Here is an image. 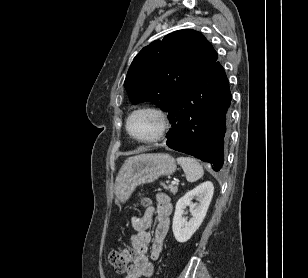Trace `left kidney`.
Segmentation results:
<instances>
[{
  "label": "left kidney",
  "instance_id": "1",
  "mask_svg": "<svg viewBox=\"0 0 308 278\" xmlns=\"http://www.w3.org/2000/svg\"><path fill=\"white\" fill-rule=\"evenodd\" d=\"M213 193V184L210 181H206L193 190L188 191L178 200L172 224L173 234L178 242H187L198 230L206 216ZM193 198H196L199 204H192L191 200ZM187 206H192V218L189 222L183 217L184 209H186Z\"/></svg>",
  "mask_w": 308,
  "mask_h": 278
}]
</instances>
